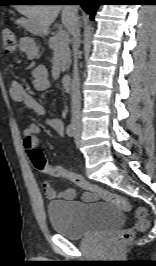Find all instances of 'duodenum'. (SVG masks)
Wrapping results in <instances>:
<instances>
[{"label": "duodenum", "instance_id": "obj_1", "mask_svg": "<svg viewBox=\"0 0 156 266\" xmlns=\"http://www.w3.org/2000/svg\"><path fill=\"white\" fill-rule=\"evenodd\" d=\"M71 82L72 78L69 74H64L61 78V83L64 89L70 90L71 89Z\"/></svg>", "mask_w": 156, "mask_h": 266}]
</instances>
